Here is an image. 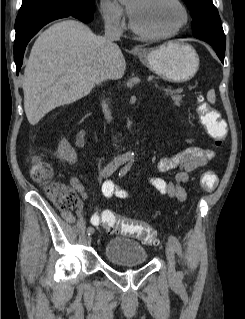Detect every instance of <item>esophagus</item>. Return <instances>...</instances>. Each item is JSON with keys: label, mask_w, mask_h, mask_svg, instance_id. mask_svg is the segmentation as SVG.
Wrapping results in <instances>:
<instances>
[{"label": "esophagus", "mask_w": 245, "mask_h": 319, "mask_svg": "<svg viewBox=\"0 0 245 319\" xmlns=\"http://www.w3.org/2000/svg\"><path fill=\"white\" fill-rule=\"evenodd\" d=\"M132 50H133V51H139L140 48L136 46V47H134Z\"/></svg>", "instance_id": "obj_1"}]
</instances>
